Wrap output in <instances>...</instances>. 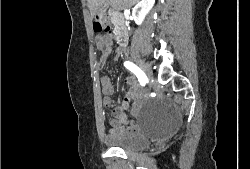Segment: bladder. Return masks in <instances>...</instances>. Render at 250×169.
I'll list each match as a JSON object with an SVG mask.
<instances>
[{
    "instance_id": "bladder-1",
    "label": "bladder",
    "mask_w": 250,
    "mask_h": 169,
    "mask_svg": "<svg viewBox=\"0 0 250 169\" xmlns=\"http://www.w3.org/2000/svg\"><path fill=\"white\" fill-rule=\"evenodd\" d=\"M149 134L142 133H112L104 134L103 139L110 149L140 151L151 147L148 142Z\"/></svg>"
}]
</instances>
